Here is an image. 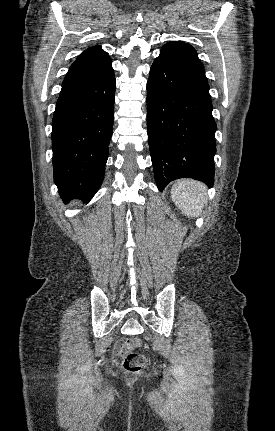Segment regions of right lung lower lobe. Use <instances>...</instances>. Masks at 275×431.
I'll list each match as a JSON object with an SVG mask.
<instances>
[{
    "label": "right lung lower lobe",
    "instance_id": "98d812e1",
    "mask_svg": "<svg viewBox=\"0 0 275 431\" xmlns=\"http://www.w3.org/2000/svg\"><path fill=\"white\" fill-rule=\"evenodd\" d=\"M113 69L62 86L52 121L54 181L63 200L89 202L104 178L114 120Z\"/></svg>",
    "mask_w": 275,
    "mask_h": 431
}]
</instances>
